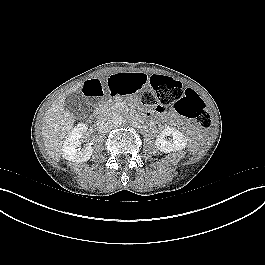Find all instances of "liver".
<instances>
[{"instance_id":"1","label":"liver","mask_w":265,"mask_h":265,"mask_svg":"<svg viewBox=\"0 0 265 265\" xmlns=\"http://www.w3.org/2000/svg\"><path fill=\"white\" fill-rule=\"evenodd\" d=\"M82 83L70 88L55 100L43 117L42 136L53 160L59 161L64 139L73 128L75 117L65 109L66 95L75 92Z\"/></svg>"}]
</instances>
